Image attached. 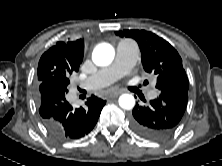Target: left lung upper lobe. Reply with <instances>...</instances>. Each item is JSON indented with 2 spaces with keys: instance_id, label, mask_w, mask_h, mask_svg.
Listing matches in <instances>:
<instances>
[{
  "instance_id": "left-lung-upper-lobe-1",
  "label": "left lung upper lobe",
  "mask_w": 222,
  "mask_h": 166,
  "mask_svg": "<svg viewBox=\"0 0 222 166\" xmlns=\"http://www.w3.org/2000/svg\"><path fill=\"white\" fill-rule=\"evenodd\" d=\"M116 34L137 41L145 71L157 75L156 88L159 90L166 86L189 88L180 55L163 38L149 31L136 29L117 31Z\"/></svg>"
}]
</instances>
